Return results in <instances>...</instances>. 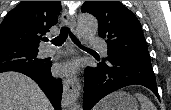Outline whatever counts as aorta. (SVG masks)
<instances>
[{"instance_id":"1","label":"aorta","mask_w":171,"mask_h":110,"mask_svg":"<svg viewBox=\"0 0 171 110\" xmlns=\"http://www.w3.org/2000/svg\"><path fill=\"white\" fill-rule=\"evenodd\" d=\"M77 28L80 36L83 40L87 41L95 36L98 30L97 19L90 14H81L78 17ZM70 110H79L78 106L75 104Z\"/></svg>"}]
</instances>
